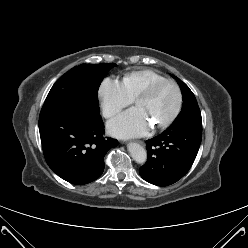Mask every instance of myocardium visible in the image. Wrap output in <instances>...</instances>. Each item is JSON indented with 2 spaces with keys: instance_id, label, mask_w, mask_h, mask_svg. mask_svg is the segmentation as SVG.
Masks as SVG:
<instances>
[{
  "instance_id": "1",
  "label": "myocardium",
  "mask_w": 248,
  "mask_h": 248,
  "mask_svg": "<svg viewBox=\"0 0 248 248\" xmlns=\"http://www.w3.org/2000/svg\"><path fill=\"white\" fill-rule=\"evenodd\" d=\"M162 83H170L175 87L176 92H177V104H176V108H175L174 112L171 114V116L169 118H167L166 120H164L161 123L154 125L156 128L168 127L177 119V117L179 116V114L181 112L182 105H183V95H182V91H181L178 83L175 80L170 79V78H162V79L156 80V81L152 82L151 84H149L143 91H141L134 98L135 104H137L139 101L146 100L147 98H149L151 96V94L153 93L155 88Z\"/></svg>"
}]
</instances>
